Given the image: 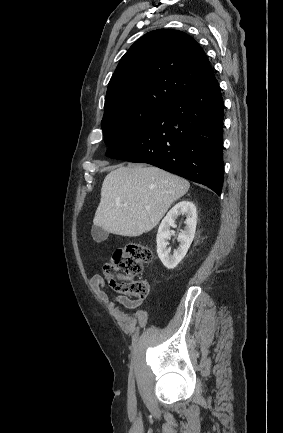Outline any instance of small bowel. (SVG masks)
Masks as SVG:
<instances>
[{"label": "small bowel", "mask_w": 283, "mask_h": 433, "mask_svg": "<svg viewBox=\"0 0 283 433\" xmlns=\"http://www.w3.org/2000/svg\"><path fill=\"white\" fill-rule=\"evenodd\" d=\"M89 281L98 300L112 308L123 324L126 326H132L136 323L143 324L146 322L147 315L144 312H140L136 316L130 317L121 308V306H123L127 309H139L143 304V300L133 299L128 296L110 297L105 290L104 279L99 274L91 276Z\"/></svg>", "instance_id": "c3829d8e"}]
</instances>
